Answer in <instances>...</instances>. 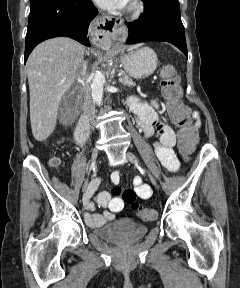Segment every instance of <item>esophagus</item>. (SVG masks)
<instances>
[{"label": "esophagus", "mask_w": 240, "mask_h": 288, "mask_svg": "<svg viewBox=\"0 0 240 288\" xmlns=\"http://www.w3.org/2000/svg\"><path fill=\"white\" fill-rule=\"evenodd\" d=\"M94 25L96 42L101 46L109 47L112 44L111 38L121 25V21L108 15H100L96 18Z\"/></svg>", "instance_id": "esophagus-1"}]
</instances>
